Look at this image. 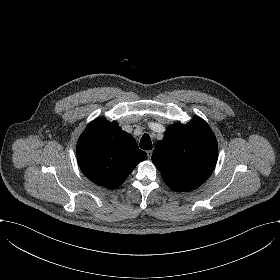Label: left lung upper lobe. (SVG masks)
Here are the masks:
<instances>
[{"label": "left lung upper lobe", "mask_w": 280, "mask_h": 280, "mask_svg": "<svg viewBox=\"0 0 280 280\" xmlns=\"http://www.w3.org/2000/svg\"><path fill=\"white\" fill-rule=\"evenodd\" d=\"M217 158L215 135L197 116L187 124L168 126L151 157L165 183L174 191L199 187L211 175Z\"/></svg>", "instance_id": "left-lung-upper-lobe-1"}]
</instances>
